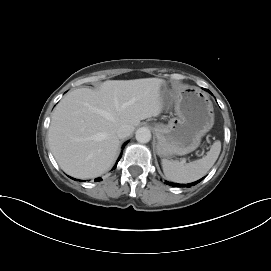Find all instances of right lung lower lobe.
<instances>
[{
  "mask_svg": "<svg viewBox=\"0 0 271 271\" xmlns=\"http://www.w3.org/2000/svg\"><path fill=\"white\" fill-rule=\"evenodd\" d=\"M125 144H127V142H126ZM125 144L123 145V147L125 146ZM121 156H122V154L119 156V158H118V160H117V162H116V165L113 167V169L116 168L117 163H118V161L120 160ZM101 180H102L101 178H96V179H95V181H101Z\"/></svg>",
  "mask_w": 271,
  "mask_h": 271,
  "instance_id": "right-lung-lower-lobe-1",
  "label": "right lung lower lobe"
}]
</instances>
